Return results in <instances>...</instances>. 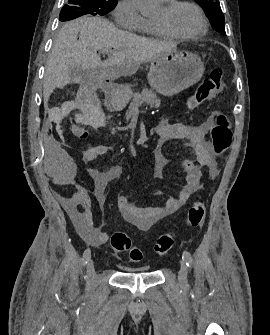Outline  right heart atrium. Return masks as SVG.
I'll return each instance as SVG.
<instances>
[{
  "instance_id": "obj_1",
  "label": "right heart atrium",
  "mask_w": 270,
  "mask_h": 335,
  "mask_svg": "<svg viewBox=\"0 0 270 335\" xmlns=\"http://www.w3.org/2000/svg\"><path fill=\"white\" fill-rule=\"evenodd\" d=\"M113 18L119 27L129 31H141L144 21L135 0H119L115 6Z\"/></svg>"
}]
</instances>
